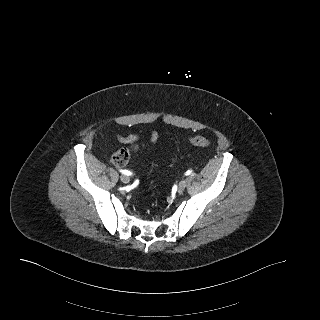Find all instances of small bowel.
I'll return each mask as SVG.
<instances>
[{
  "label": "small bowel",
  "instance_id": "obj_1",
  "mask_svg": "<svg viewBox=\"0 0 320 320\" xmlns=\"http://www.w3.org/2000/svg\"><path fill=\"white\" fill-rule=\"evenodd\" d=\"M147 134L149 136V140L151 143H155L157 141L158 133L156 131L152 130ZM141 136L142 134H128V135L118 134L117 139L119 142L123 144H134L140 139Z\"/></svg>",
  "mask_w": 320,
  "mask_h": 320
}]
</instances>
